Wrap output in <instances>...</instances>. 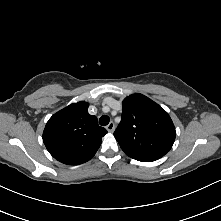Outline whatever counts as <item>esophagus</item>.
<instances>
[{
    "mask_svg": "<svg viewBox=\"0 0 221 221\" xmlns=\"http://www.w3.org/2000/svg\"><path fill=\"white\" fill-rule=\"evenodd\" d=\"M106 129L108 132H113L115 129V124L113 122H110L107 126Z\"/></svg>",
    "mask_w": 221,
    "mask_h": 221,
    "instance_id": "esophagus-1",
    "label": "esophagus"
}]
</instances>
